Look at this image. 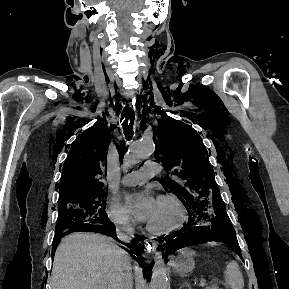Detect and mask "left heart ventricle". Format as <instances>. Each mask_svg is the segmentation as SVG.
I'll return each instance as SVG.
<instances>
[{"label":"left heart ventricle","instance_id":"1","mask_svg":"<svg viewBox=\"0 0 289 289\" xmlns=\"http://www.w3.org/2000/svg\"><path fill=\"white\" fill-rule=\"evenodd\" d=\"M178 217V210L173 204L158 201L157 208L148 223L155 228H163L174 224Z\"/></svg>","mask_w":289,"mask_h":289}]
</instances>
